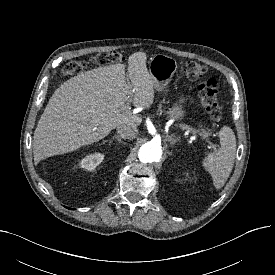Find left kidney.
I'll list each match as a JSON object with an SVG mask.
<instances>
[{"label":"left kidney","mask_w":275,"mask_h":275,"mask_svg":"<svg viewBox=\"0 0 275 275\" xmlns=\"http://www.w3.org/2000/svg\"><path fill=\"white\" fill-rule=\"evenodd\" d=\"M186 175L188 176V175H189V173L187 172V173H186Z\"/></svg>","instance_id":"left-kidney-1"}]
</instances>
